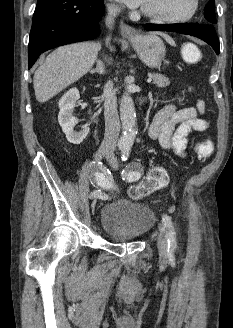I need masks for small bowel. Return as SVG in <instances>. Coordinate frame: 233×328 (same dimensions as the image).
Returning a JSON list of instances; mask_svg holds the SVG:
<instances>
[{"label":"small bowel","mask_w":233,"mask_h":328,"mask_svg":"<svg viewBox=\"0 0 233 328\" xmlns=\"http://www.w3.org/2000/svg\"><path fill=\"white\" fill-rule=\"evenodd\" d=\"M204 113L205 103L202 99L197 100L195 107L178 109L174 105H167L154 116L148 135L157 140L162 148L184 157L189 134L209 128V121L202 117Z\"/></svg>","instance_id":"c3829d8e"}]
</instances>
